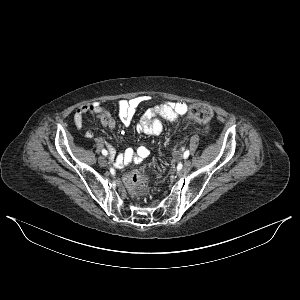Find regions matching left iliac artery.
<instances>
[{"label": "left iliac artery", "instance_id": "obj_1", "mask_svg": "<svg viewBox=\"0 0 300 300\" xmlns=\"http://www.w3.org/2000/svg\"><path fill=\"white\" fill-rule=\"evenodd\" d=\"M189 150H186L183 154L184 159H187L189 157Z\"/></svg>", "mask_w": 300, "mask_h": 300}]
</instances>
